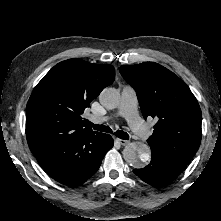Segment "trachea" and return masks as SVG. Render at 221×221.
<instances>
[{"label":"trachea","mask_w":221,"mask_h":221,"mask_svg":"<svg viewBox=\"0 0 221 221\" xmlns=\"http://www.w3.org/2000/svg\"><path fill=\"white\" fill-rule=\"evenodd\" d=\"M85 123L88 125V126H91L93 127L95 130L97 131H100V132H106V133H113L112 129L109 128L108 126H105V125H97V124H93L91 123L90 121L86 120ZM118 138L120 139H123V140H128L129 139V135L122 131V130H117L115 133H114Z\"/></svg>","instance_id":"obj_1"}]
</instances>
